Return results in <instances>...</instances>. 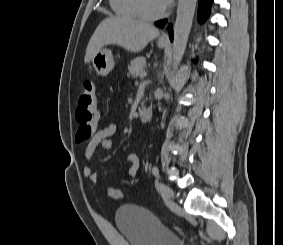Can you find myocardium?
I'll return each instance as SVG.
<instances>
[{
	"instance_id": "myocardium-1",
	"label": "myocardium",
	"mask_w": 283,
	"mask_h": 245,
	"mask_svg": "<svg viewBox=\"0 0 283 245\" xmlns=\"http://www.w3.org/2000/svg\"><path fill=\"white\" fill-rule=\"evenodd\" d=\"M136 9L138 14L141 18L145 20H157L164 17L167 13L168 7L165 6L160 12L158 13H149L145 10L143 6V0H135Z\"/></svg>"
}]
</instances>
